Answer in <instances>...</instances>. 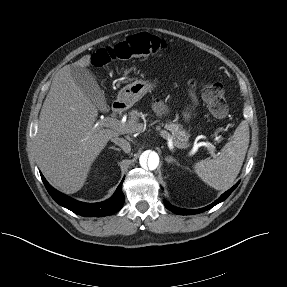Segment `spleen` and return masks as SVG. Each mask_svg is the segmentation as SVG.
<instances>
[{"instance_id": "obj_1", "label": "spleen", "mask_w": 287, "mask_h": 287, "mask_svg": "<svg viewBox=\"0 0 287 287\" xmlns=\"http://www.w3.org/2000/svg\"><path fill=\"white\" fill-rule=\"evenodd\" d=\"M249 138V125L246 120H243L230 141L221 149L218 157L195 163V173L216 190L230 188L243 165Z\"/></svg>"}]
</instances>
